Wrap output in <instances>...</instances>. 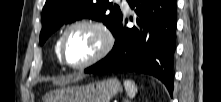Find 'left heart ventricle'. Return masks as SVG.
<instances>
[{
	"mask_svg": "<svg viewBox=\"0 0 221 102\" xmlns=\"http://www.w3.org/2000/svg\"><path fill=\"white\" fill-rule=\"evenodd\" d=\"M100 45L98 34L86 27L73 29L65 41L64 53L71 64H81L91 58Z\"/></svg>",
	"mask_w": 221,
	"mask_h": 102,
	"instance_id": "left-heart-ventricle-1",
	"label": "left heart ventricle"
}]
</instances>
